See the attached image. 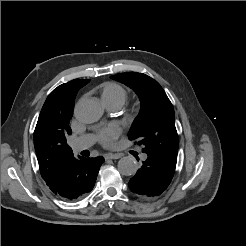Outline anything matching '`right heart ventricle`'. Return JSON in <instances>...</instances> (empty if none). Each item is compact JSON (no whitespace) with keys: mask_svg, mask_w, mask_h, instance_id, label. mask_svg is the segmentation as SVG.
I'll return each instance as SVG.
<instances>
[{"mask_svg":"<svg viewBox=\"0 0 246 246\" xmlns=\"http://www.w3.org/2000/svg\"><path fill=\"white\" fill-rule=\"evenodd\" d=\"M101 99L105 105L123 106L128 99V91L116 82H106L100 86Z\"/></svg>","mask_w":246,"mask_h":246,"instance_id":"1","label":"right heart ventricle"}]
</instances>
